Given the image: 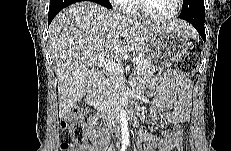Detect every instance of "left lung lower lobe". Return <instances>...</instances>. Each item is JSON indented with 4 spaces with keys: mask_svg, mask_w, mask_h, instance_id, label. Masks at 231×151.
Masks as SVG:
<instances>
[{
    "mask_svg": "<svg viewBox=\"0 0 231 151\" xmlns=\"http://www.w3.org/2000/svg\"><path fill=\"white\" fill-rule=\"evenodd\" d=\"M180 18L191 23L198 33L201 35L202 39L206 40L204 19H205V6L204 2H198L193 4L187 12H182Z\"/></svg>",
    "mask_w": 231,
    "mask_h": 151,
    "instance_id": "obj_1",
    "label": "left lung lower lobe"
}]
</instances>
